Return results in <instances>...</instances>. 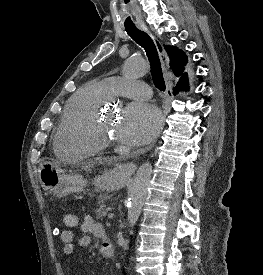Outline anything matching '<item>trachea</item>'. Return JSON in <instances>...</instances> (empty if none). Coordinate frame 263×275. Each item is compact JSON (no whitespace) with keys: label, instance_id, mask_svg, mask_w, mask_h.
I'll return each instance as SVG.
<instances>
[{"label":"trachea","instance_id":"1","mask_svg":"<svg viewBox=\"0 0 263 275\" xmlns=\"http://www.w3.org/2000/svg\"><path fill=\"white\" fill-rule=\"evenodd\" d=\"M127 34L140 46H142L147 54L151 66V74L153 82L160 91H165V81L163 78L161 63L156 46L151 37L141 31L137 27H125Z\"/></svg>","mask_w":263,"mask_h":275}]
</instances>
